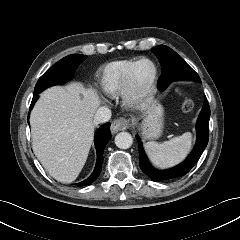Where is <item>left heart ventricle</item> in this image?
<instances>
[{
  "instance_id": "1",
  "label": "left heart ventricle",
  "mask_w": 240,
  "mask_h": 240,
  "mask_svg": "<svg viewBox=\"0 0 240 240\" xmlns=\"http://www.w3.org/2000/svg\"><path fill=\"white\" fill-rule=\"evenodd\" d=\"M151 75L152 66L147 62H143L138 66L134 75V80L139 85H146L150 80Z\"/></svg>"
}]
</instances>
